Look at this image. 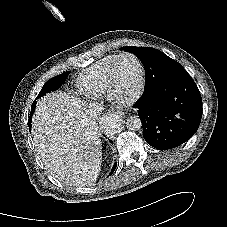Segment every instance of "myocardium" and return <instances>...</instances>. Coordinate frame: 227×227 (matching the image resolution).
<instances>
[{
  "label": "myocardium",
  "instance_id": "1",
  "mask_svg": "<svg viewBox=\"0 0 227 227\" xmlns=\"http://www.w3.org/2000/svg\"><path fill=\"white\" fill-rule=\"evenodd\" d=\"M124 57L133 58L137 63L139 72H140L139 86L136 92L130 98H121L116 93L115 67L119 62V60H121ZM145 83H146V72L141 59L134 53L123 52L116 56L115 60L112 62V64L109 67L108 74H107V96L112 102L116 104L131 105L135 103L137 100H139V98L142 96L145 89Z\"/></svg>",
  "mask_w": 227,
  "mask_h": 227
}]
</instances>
